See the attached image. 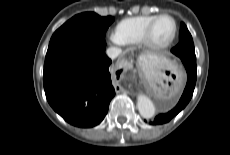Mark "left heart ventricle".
I'll list each match as a JSON object with an SVG mask.
<instances>
[{
	"label": "left heart ventricle",
	"mask_w": 230,
	"mask_h": 155,
	"mask_svg": "<svg viewBox=\"0 0 230 155\" xmlns=\"http://www.w3.org/2000/svg\"><path fill=\"white\" fill-rule=\"evenodd\" d=\"M173 22L169 18L160 19L154 26L152 39L157 43L167 41L173 32Z\"/></svg>",
	"instance_id": "obj_1"
}]
</instances>
